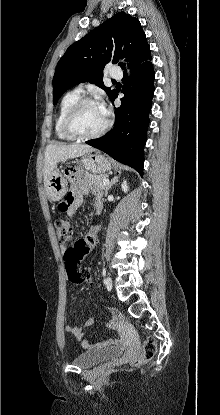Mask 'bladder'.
Segmentation results:
<instances>
[{
    "label": "bladder",
    "mask_w": 220,
    "mask_h": 415,
    "mask_svg": "<svg viewBox=\"0 0 220 415\" xmlns=\"http://www.w3.org/2000/svg\"><path fill=\"white\" fill-rule=\"evenodd\" d=\"M124 352L122 347H107L104 349H92L78 354L72 361L73 365L80 368H91L106 361L119 358Z\"/></svg>",
    "instance_id": "31cf9c89"
}]
</instances>
